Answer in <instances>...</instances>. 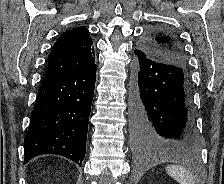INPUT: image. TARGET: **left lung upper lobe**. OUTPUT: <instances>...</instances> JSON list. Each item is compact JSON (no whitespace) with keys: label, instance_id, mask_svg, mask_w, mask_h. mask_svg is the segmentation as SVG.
Instances as JSON below:
<instances>
[{"label":"left lung upper lobe","instance_id":"obj_1","mask_svg":"<svg viewBox=\"0 0 224 184\" xmlns=\"http://www.w3.org/2000/svg\"><path fill=\"white\" fill-rule=\"evenodd\" d=\"M150 59L186 70V58L177 38L167 31H151L139 45Z\"/></svg>","mask_w":224,"mask_h":184}]
</instances>
